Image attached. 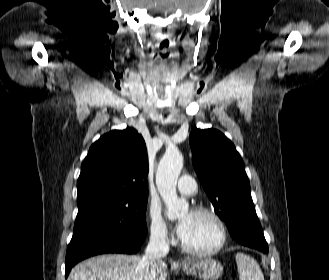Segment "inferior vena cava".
<instances>
[{
	"instance_id": "602c4592",
	"label": "inferior vena cava",
	"mask_w": 329,
	"mask_h": 280,
	"mask_svg": "<svg viewBox=\"0 0 329 280\" xmlns=\"http://www.w3.org/2000/svg\"><path fill=\"white\" fill-rule=\"evenodd\" d=\"M169 252V244L166 240V233L157 230L151 233L150 241L145 250V255L141 259V264L149 270L163 263L162 258Z\"/></svg>"
}]
</instances>
